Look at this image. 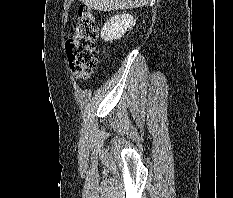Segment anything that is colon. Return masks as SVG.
I'll return each instance as SVG.
<instances>
[{
	"mask_svg": "<svg viewBox=\"0 0 233 198\" xmlns=\"http://www.w3.org/2000/svg\"><path fill=\"white\" fill-rule=\"evenodd\" d=\"M97 31L95 15L86 6H81L74 32L66 40L69 65L76 78H87L97 66Z\"/></svg>",
	"mask_w": 233,
	"mask_h": 198,
	"instance_id": "5ec220e1",
	"label": "colon"
}]
</instances>
